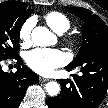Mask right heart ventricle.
<instances>
[{
	"label": "right heart ventricle",
	"mask_w": 108,
	"mask_h": 108,
	"mask_svg": "<svg viewBox=\"0 0 108 108\" xmlns=\"http://www.w3.org/2000/svg\"><path fill=\"white\" fill-rule=\"evenodd\" d=\"M45 21L48 26L58 34H63L70 28V20L61 12H49L45 16Z\"/></svg>",
	"instance_id": "1"
}]
</instances>
